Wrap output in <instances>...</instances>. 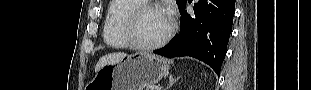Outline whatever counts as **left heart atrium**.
Wrapping results in <instances>:
<instances>
[{
	"label": "left heart atrium",
	"mask_w": 311,
	"mask_h": 90,
	"mask_svg": "<svg viewBox=\"0 0 311 90\" xmlns=\"http://www.w3.org/2000/svg\"><path fill=\"white\" fill-rule=\"evenodd\" d=\"M167 17L169 18L170 21H172V14L171 12H166Z\"/></svg>",
	"instance_id": "1"
}]
</instances>
